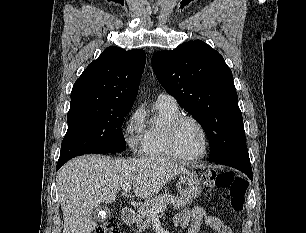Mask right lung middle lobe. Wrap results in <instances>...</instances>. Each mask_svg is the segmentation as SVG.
Wrapping results in <instances>:
<instances>
[{"label": "right lung middle lobe", "mask_w": 306, "mask_h": 233, "mask_svg": "<svg viewBox=\"0 0 306 233\" xmlns=\"http://www.w3.org/2000/svg\"><path fill=\"white\" fill-rule=\"evenodd\" d=\"M131 108L87 103L71 105L58 162L82 154L124 151L126 144L121 126Z\"/></svg>", "instance_id": "dd1d6c3e"}]
</instances>
